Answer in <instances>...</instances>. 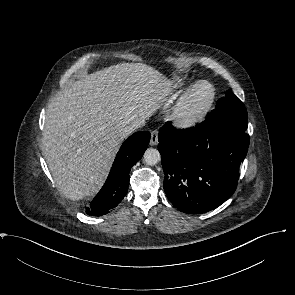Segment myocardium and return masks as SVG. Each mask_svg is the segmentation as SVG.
Returning a JSON list of instances; mask_svg holds the SVG:
<instances>
[{"instance_id":"f54148a6","label":"myocardium","mask_w":295,"mask_h":295,"mask_svg":"<svg viewBox=\"0 0 295 295\" xmlns=\"http://www.w3.org/2000/svg\"><path fill=\"white\" fill-rule=\"evenodd\" d=\"M203 87L209 89L207 97L202 103L196 105ZM216 99V89L207 80H200L193 84L179 99L175 105L171 118L175 126L188 130L201 124L212 110Z\"/></svg>"}]
</instances>
